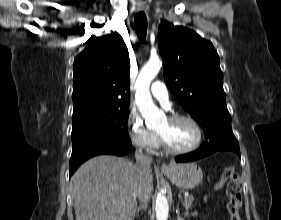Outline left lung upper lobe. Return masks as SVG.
Instances as JSON below:
<instances>
[{"mask_svg":"<svg viewBox=\"0 0 281 220\" xmlns=\"http://www.w3.org/2000/svg\"><path fill=\"white\" fill-rule=\"evenodd\" d=\"M158 45L166 85L201 125L209 143L238 145L226 106L219 57L212 43L193 30L162 21Z\"/></svg>","mask_w":281,"mask_h":220,"instance_id":"left-lung-upper-lobe-1","label":"left lung upper lobe"}]
</instances>
